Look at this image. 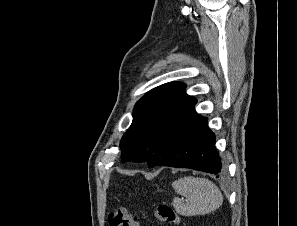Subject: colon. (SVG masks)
<instances>
[{
	"instance_id": "colon-1",
	"label": "colon",
	"mask_w": 297,
	"mask_h": 226,
	"mask_svg": "<svg viewBox=\"0 0 297 226\" xmlns=\"http://www.w3.org/2000/svg\"><path fill=\"white\" fill-rule=\"evenodd\" d=\"M155 215L163 223L179 224V218L167 204L158 205ZM110 226H138V221L125 207H116L108 216Z\"/></svg>"
}]
</instances>
